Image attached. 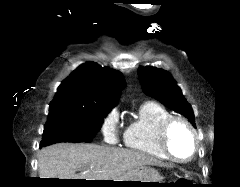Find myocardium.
<instances>
[{"instance_id":"1","label":"myocardium","mask_w":240,"mask_h":187,"mask_svg":"<svg viewBox=\"0 0 240 187\" xmlns=\"http://www.w3.org/2000/svg\"><path fill=\"white\" fill-rule=\"evenodd\" d=\"M176 125L184 126L191 135L193 150L190 156L187 158H179L177 157L170 148V136L173 128ZM160 146L163 152L174 162L176 163H187L193 160L199 151V140L197 136V131L194 126L185 118L179 116H172L168 118L161 126L160 129Z\"/></svg>"}]
</instances>
